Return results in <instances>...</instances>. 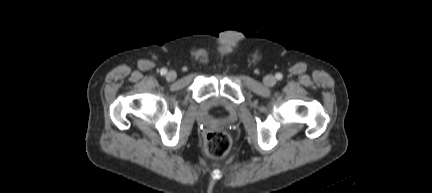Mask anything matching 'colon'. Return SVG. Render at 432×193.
Instances as JSON below:
<instances>
[{"label": "colon", "mask_w": 432, "mask_h": 193, "mask_svg": "<svg viewBox=\"0 0 432 193\" xmlns=\"http://www.w3.org/2000/svg\"><path fill=\"white\" fill-rule=\"evenodd\" d=\"M204 147L208 156L224 157L231 148V137L222 130L212 131L206 136Z\"/></svg>", "instance_id": "5ec220e1"}]
</instances>
